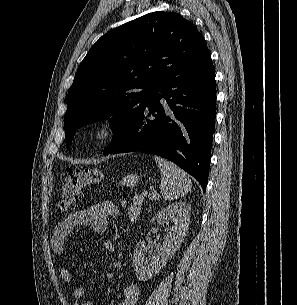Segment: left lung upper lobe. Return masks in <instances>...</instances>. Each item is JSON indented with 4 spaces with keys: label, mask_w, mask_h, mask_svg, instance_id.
<instances>
[{
    "label": "left lung upper lobe",
    "mask_w": 297,
    "mask_h": 305,
    "mask_svg": "<svg viewBox=\"0 0 297 305\" xmlns=\"http://www.w3.org/2000/svg\"><path fill=\"white\" fill-rule=\"evenodd\" d=\"M212 64L203 36L175 12H152L103 35L91 47L68 91L66 146L78 128L109 119L115 138L166 82Z\"/></svg>",
    "instance_id": "obj_1"
}]
</instances>
